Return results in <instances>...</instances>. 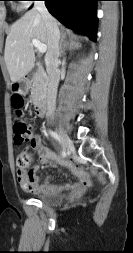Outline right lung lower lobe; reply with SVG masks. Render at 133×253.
Masks as SVG:
<instances>
[{"mask_svg": "<svg viewBox=\"0 0 133 253\" xmlns=\"http://www.w3.org/2000/svg\"><path fill=\"white\" fill-rule=\"evenodd\" d=\"M49 12L65 26L95 41L97 18L95 3L99 0H44Z\"/></svg>", "mask_w": 133, "mask_h": 253, "instance_id": "right-lung-lower-lobe-1", "label": "right lung lower lobe"}]
</instances>
